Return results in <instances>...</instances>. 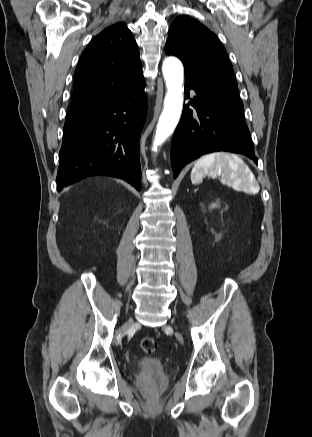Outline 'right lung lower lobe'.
<instances>
[{"mask_svg": "<svg viewBox=\"0 0 312 437\" xmlns=\"http://www.w3.org/2000/svg\"><path fill=\"white\" fill-rule=\"evenodd\" d=\"M142 77L123 92L66 119L57 190L92 175L123 179L141 189L139 142L146 115Z\"/></svg>", "mask_w": 312, "mask_h": 437, "instance_id": "1", "label": "right lung lower lobe"}]
</instances>
